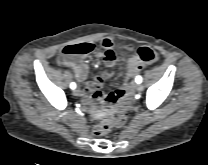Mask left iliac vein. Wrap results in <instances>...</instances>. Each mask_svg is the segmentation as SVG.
<instances>
[{
  "label": "left iliac vein",
  "mask_w": 208,
  "mask_h": 165,
  "mask_svg": "<svg viewBox=\"0 0 208 165\" xmlns=\"http://www.w3.org/2000/svg\"><path fill=\"white\" fill-rule=\"evenodd\" d=\"M136 89H137L139 92H141V91H143L144 87H143L142 84L138 83V84H136Z\"/></svg>",
  "instance_id": "4c4485c4"
}]
</instances>
